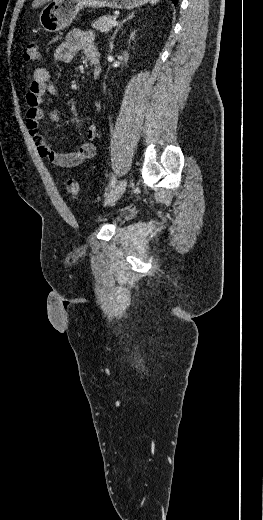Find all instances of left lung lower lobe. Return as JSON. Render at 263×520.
I'll return each mask as SVG.
<instances>
[{"label":"left lung lower lobe","mask_w":263,"mask_h":520,"mask_svg":"<svg viewBox=\"0 0 263 520\" xmlns=\"http://www.w3.org/2000/svg\"><path fill=\"white\" fill-rule=\"evenodd\" d=\"M173 4L176 5L178 0H172Z\"/></svg>","instance_id":"0a47b994"}]
</instances>
